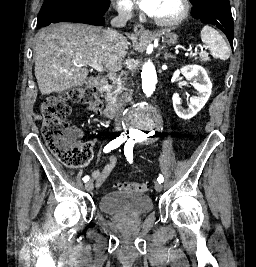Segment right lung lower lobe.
<instances>
[{
    "label": "right lung lower lobe",
    "instance_id": "98d812e1",
    "mask_svg": "<svg viewBox=\"0 0 256 267\" xmlns=\"http://www.w3.org/2000/svg\"><path fill=\"white\" fill-rule=\"evenodd\" d=\"M107 11L108 9H87L77 15L55 12L45 16L41 20H38L37 26L40 28L42 26H47L50 23L57 22H74L102 26L105 23L104 14Z\"/></svg>",
    "mask_w": 256,
    "mask_h": 267
}]
</instances>
